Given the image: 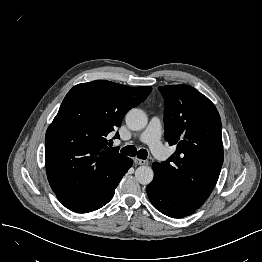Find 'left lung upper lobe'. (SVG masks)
I'll list each match as a JSON object with an SVG mask.
<instances>
[{
	"label": "left lung upper lobe",
	"instance_id": "5c2ea615",
	"mask_svg": "<svg viewBox=\"0 0 262 262\" xmlns=\"http://www.w3.org/2000/svg\"><path fill=\"white\" fill-rule=\"evenodd\" d=\"M165 139L175 153L158 163L166 186L198 209L212 192L223 164L221 119L214 104L188 85L161 86Z\"/></svg>",
	"mask_w": 262,
	"mask_h": 262
}]
</instances>
